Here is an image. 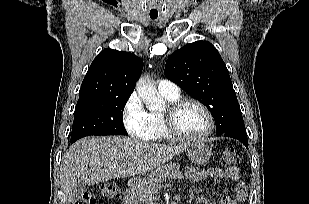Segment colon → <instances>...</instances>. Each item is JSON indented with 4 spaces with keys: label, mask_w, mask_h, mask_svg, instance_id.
<instances>
[{
    "label": "colon",
    "mask_w": 309,
    "mask_h": 204,
    "mask_svg": "<svg viewBox=\"0 0 309 204\" xmlns=\"http://www.w3.org/2000/svg\"><path fill=\"white\" fill-rule=\"evenodd\" d=\"M221 163L224 166H234L239 163V158L233 147H227L221 155ZM101 193L104 197L115 199L120 195L119 185L115 182H105L101 186ZM73 204H95V196L86 192Z\"/></svg>",
    "instance_id": "5ec220e1"
}]
</instances>
